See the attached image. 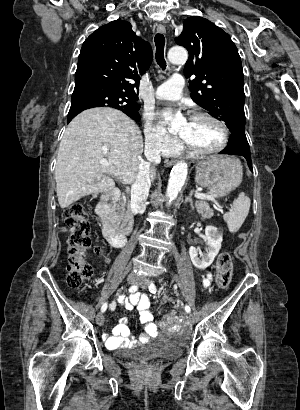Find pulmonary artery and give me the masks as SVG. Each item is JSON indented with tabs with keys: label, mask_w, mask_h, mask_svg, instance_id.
<instances>
[{
	"label": "pulmonary artery",
	"mask_w": 300,
	"mask_h": 410,
	"mask_svg": "<svg viewBox=\"0 0 300 410\" xmlns=\"http://www.w3.org/2000/svg\"><path fill=\"white\" fill-rule=\"evenodd\" d=\"M184 79L175 74L168 81L159 86L155 91V98L159 100H177L182 96Z\"/></svg>",
	"instance_id": "1"
}]
</instances>
